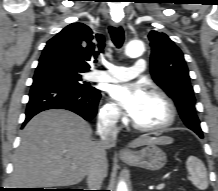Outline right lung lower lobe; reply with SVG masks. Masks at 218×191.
<instances>
[{"instance_id": "right-lung-lower-lobe-1", "label": "right lung lower lobe", "mask_w": 218, "mask_h": 191, "mask_svg": "<svg viewBox=\"0 0 218 191\" xmlns=\"http://www.w3.org/2000/svg\"><path fill=\"white\" fill-rule=\"evenodd\" d=\"M26 108L25 125L34 115L48 109H66L91 120L97 112L100 91H85L73 87L54 74L34 76Z\"/></svg>"}]
</instances>
